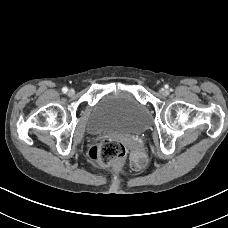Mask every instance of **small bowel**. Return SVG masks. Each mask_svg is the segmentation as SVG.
I'll list each match as a JSON object with an SVG mask.
<instances>
[{
	"label": "small bowel",
	"mask_w": 228,
	"mask_h": 228,
	"mask_svg": "<svg viewBox=\"0 0 228 228\" xmlns=\"http://www.w3.org/2000/svg\"><path fill=\"white\" fill-rule=\"evenodd\" d=\"M130 161L133 169L135 170H141L143 169L147 164L146 156L139 151H133L130 156Z\"/></svg>",
	"instance_id": "obj_1"
}]
</instances>
